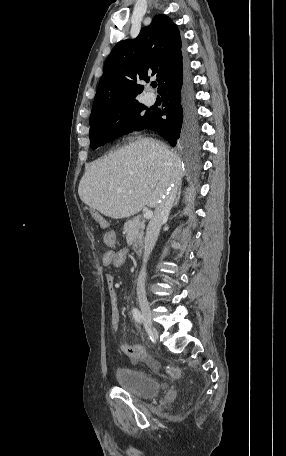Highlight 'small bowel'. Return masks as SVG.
I'll return each instance as SVG.
<instances>
[{
  "label": "small bowel",
  "mask_w": 286,
  "mask_h": 456,
  "mask_svg": "<svg viewBox=\"0 0 286 456\" xmlns=\"http://www.w3.org/2000/svg\"><path fill=\"white\" fill-rule=\"evenodd\" d=\"M104 242L106 245L112 247L115 245V234L112 231H108L104 234ZM130 255V250L128 248H124L118 251L115 250H108L103 255V264L108 268H119L121 267L128 259ZM107 288H108V295H109V303H110V311H111V324L114 330L118 331L121 325V314L118 304V295L116 292L115 284H114V277L111 274L105 275ZM121 351L124 355L132 360H138L137 353L139 351H144L142 345H121Z\"/></svg>",
  "instance_id": "c3829d8e"
}]
</instances>
